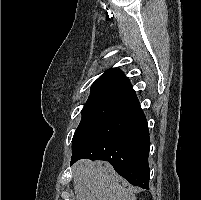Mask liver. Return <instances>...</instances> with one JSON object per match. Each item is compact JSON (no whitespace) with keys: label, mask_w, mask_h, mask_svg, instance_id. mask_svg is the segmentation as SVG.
Segmentation results:
<instances>
[{"label":"liver","mask_w":201,"mask_h":200,"mask_svg":"<svg viewBox=\"0 0 201 200\" xmlns=\"http://www.w3.org/2000/svg\"><path fill=\"white\" fill-rule=\"evenodd\" d=\"M75 200H136L117 182L111 165L81 160L73 167Z\"/></svg>","instance_id":"obj_1"}]
</instances>
